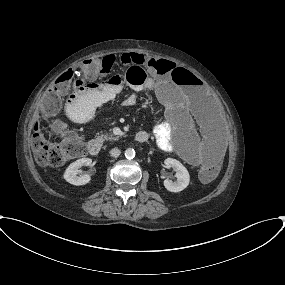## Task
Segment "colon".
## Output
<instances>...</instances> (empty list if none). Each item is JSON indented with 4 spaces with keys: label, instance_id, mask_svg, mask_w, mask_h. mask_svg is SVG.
Instances as JSON below:
<instances>
[{
    "label": "colon",
    "instance_id": "obj_1",
    "mask_svg": "<svg viewBox=\"0 0 285 285\" xmlns=\"http://www.w3.org/2000/svg\"><path fill=\"white\" fill-rule=\"evenodd\" d=\"M116 60L112 56L102 59H90L83 63L79 70H68L62 73L48 92L44 94L38 103V111L41 117H52L62 104V99L70 88L101 79L112 71ZM155 67L160 75H170L181 86L188 83L191 74L167 60L140 61L130 63L126 71L115 75L117 83L132 84L134 87H144L148 83V67ZM35 160L43 166H59L67 161L86 155V146L76 131L60 128L51 136L44 134L40 121H37L31 138ZM220 170L219 161L201 167L200 177L203 181L212 180Z\"/></svg>",
    "mask_w": 285,
    "mask_h": 285
}]
</instances>
